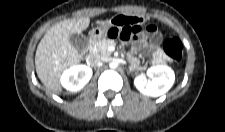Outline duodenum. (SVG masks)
Here are the masks:
<instances>
[{"instance_id":"duodenum-1","label":"duodenum","mask_w":225,"mask_h":132,"mask_svg":"<svg viewBox=\"0 0 225 132\" xmlns=\"http://www.w3.org/2000/svg\"><path fill=\"white\" fill-rule=\"evenodd\" d=\"M93 44V41L92 40H90L89 41V49L91 48V45Z\"/></svg>"}]
</instances>
